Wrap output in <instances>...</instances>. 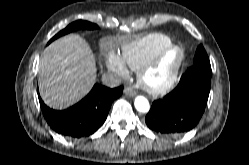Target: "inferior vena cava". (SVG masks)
Here are the masks:
<instances>
[{"instance_id": "1", "label": "inferior vena cava", "mask_w": 249, "mask_h": 165, "mask_svg": "<svg viewBox=\"0 0 249 165\" xmlns=\"http://www.w3.org/2000/svg\"><path fill=\"white\" fill-rule=\"evenodd\" d=\"M102 82L104 85L114 88L121 84V79L113 73H105L102 75Z\"/></svg>"}]
</instances>
